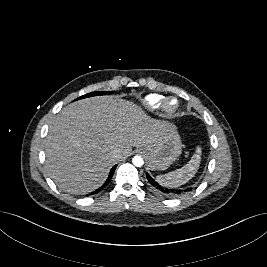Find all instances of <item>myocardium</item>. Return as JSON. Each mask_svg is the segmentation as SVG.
Instances as JSON below:
<instances>
[{
	"label": "myocardium",
	"instance_id": "obj_1",
	"mask_svg": "<svg viewBox=\"0 0 267 267\" xmlns=\"http://www.w3.org/2000/svg\"><path fill=\"white\" fill-rule=\"evenodd\" d=\"M174 103V105H171V103ZM161 111L162 113L167 116V117H171L173 116L176 111L179 108V103L177 101V99L175 98H166L162 101L161 105Z\"/></svg>",
	"mask_w": 267,
	"mask_h": 267
}]
</instances>
